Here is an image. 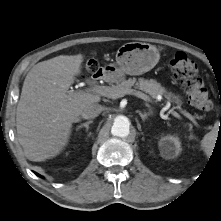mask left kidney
I'll use <instances>...</instances> for the list:
<instances>
[{
	"instance_id": "1",
	"label": "left kidney",
	"mask_w": 221,
	"mask_h": 221,
	"mask_svg": "<svg viewBox=\"0 0 221 221\" xmlns=\"http://www.w3.org/2000/svg\"><path fill=\"white\" fill-rule=\"evenodd\" d=\"M159 149L161 156L164 158H174L181 152V143L179 138L172 135L164 136L159 141Z\"/></svg>"
}]
</instances>
